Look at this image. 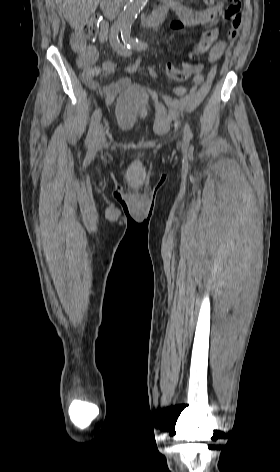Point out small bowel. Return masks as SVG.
Listing matches in <instances>:
<instances>
[{"label": "small bowel", "mask_w": 280, "mask_h": 472, "mask_svg": "<svg viewBox=\"0 0 280 472\" xmlns=\"http://www.w3.org/2000/svg\"><path fill=\"white\" fill-rule=\"evenodd\" d=\"M206 8L196 10L187 7L177 0H167L165 7L176 13L177 19L171 23L173 30H181L184 27L202 26L205 28L201 40L195 45L189 57L203 54L207 51L208 61L214 63L219 60L227 46L225 41H217L216 25L220 16L224 12L223 0L217 2H208L204 0ZM239 25L231 27L228 31L227 38L234 40L238 34ZM110 37L108 26L102 23L99 32V41L104 43ZM73 50L77 53L78 59L82 63L81 78L83 82L92 90L98 91L107 104H111L116 95L125 89L130 81L126 78L117 80L110 84L101 86L95 78L103 72H114L115 65L106 61L101 66L95 65L98 59V51L94 45L88 44L80 33H74L71 38ZM142 64V59L138 58L134 63L128 65L124 71L132 73L137 71ZM204 66L202 64L191 65V85L190 87L178 86L172 90L178 96L173 98L164 95L158 91L148 89L151 95L155 111L157 124L161 128H166L173 120L177 119L181 114L194 110L206 97L212 86L216 75V66H212L207 74H202ZM147 74L154 78L155 70L148 66Z\"/></svg>", "instance_id": "c3829d8e"}]
</instances>
